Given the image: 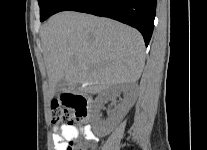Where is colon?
Returning a JSON list of instances; mask_svg holds the SVG:
<instances>
[{"label":"colon","instance_id":"5ec220e1","mask_svg":"<svg viewBox=\"0 0 207 150\" xmlns=\"http://www.w3.org/2000/svg\"><path fill=\"white\" fill-rule=\"evenodd\" d=\"M68 100L55 98L51 101V120L53 124L72 125L74 121H82L87 115V100H82L73 95H67ZM66 105H71L74 112L71 113ZM66 150H85L84 147L76 143L69 142Z\"/></svg>","mask_w":207,"mask_h":150}]
</instances>
